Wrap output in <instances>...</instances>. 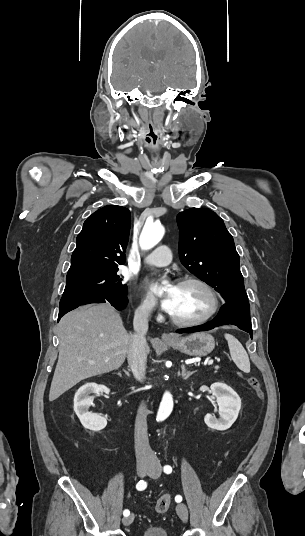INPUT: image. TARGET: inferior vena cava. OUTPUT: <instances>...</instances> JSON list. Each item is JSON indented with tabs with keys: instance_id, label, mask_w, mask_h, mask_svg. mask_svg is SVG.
<instances>
[{
	"instance_id": "602c4592",
	"label": "inferior vena cava",
	"mask_w": 305,
	"mask_h": 536,
	"mask_svg": "<svg viewBox=\"0 0 305 536\" xmlns=\"http://www.w3.org/2000/svg\"><path fill=\"white\" fill-rule=\"evenodd\" d=\"M151 306H140L135 310L133 328L135 334L130 336V348L128 350V364L133 372L136 380H143L144 372L146 370V340L145 336L148 332L149 314L151 312ZM147 410L145 404H141L138 408L135 430H134V442H135V454L137 460L141 462H150L154 458V454L149 446L148 434H147Z\"/></svg>"
}]
</instances>
